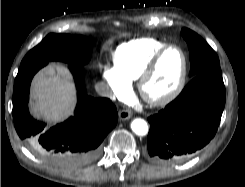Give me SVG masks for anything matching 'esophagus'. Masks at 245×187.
Instances as JSON below:
<instances>
[{"label": "esophagus", "mask_w": 245, "mask_h": 187, "mask_svg": "<svg viewBox=\"0 0 245 187\" xmlns=\"http://www.w3.org/2000/svg\"><path fill=\"white\" fill-rule=\"evenodd\" d=\"M132 117V112L129 110H120L119 111V118L120 120H128Z\"/></svg>", "instance_id": "obj_1"}]
</instances>
